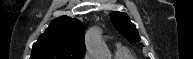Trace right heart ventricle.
Returning a JSON list of instances; mask_svg holds the SVG:
<instances>
[{"mask_svg": "<svg viewBox=\"0 0 193 59\" xmlns=\"http://www.w3.org/2000/svg\"><path fill=\"white\" fill-rule=\"evenodd\" d=\"M114 59H136V58L128 49L119 48L115 52Z\"/></svg>", "mask_w": 193, "mask_h": 59, "instance_id": "1", "label": "right heart ventricle"}]
</instances>
